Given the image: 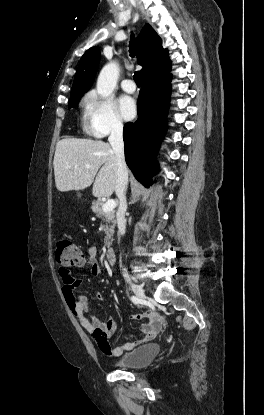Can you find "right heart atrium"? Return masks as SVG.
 Segmentation results:
<instances>
[{"label":"right heart atrium","instance_id":"1","mask_svg":"<svg viewBox=\"0 0 264 415\" xmlns=\"http://www.w3.org/2000/svg\"><path fill=\"white\" fill-rule=\"evenodd\" d=\"M86 103L88 128L93 135L104 137L122 131L123 121L110 99L91 93Z\"/></svg>","mask_w":264,"mask_h":415}]
</instances>
